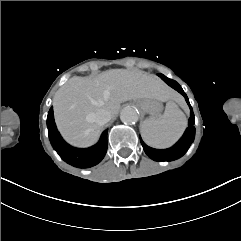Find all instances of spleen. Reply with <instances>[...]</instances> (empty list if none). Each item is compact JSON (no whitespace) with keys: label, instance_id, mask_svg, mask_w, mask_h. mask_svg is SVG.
Listing matches in <instances>:
<instances>
[{"label":"spleen","instance_id":"1","mask_svg":"<svg viewBox=\"0 0 241 241\" xmlns=\"http://www.w3.org/2000/svg\"><path fill=\"white\" fill-rule=\"evenodd\" d=\"M187 127V119L178 105L169 101L160 117H150L141 125V135L147 145L165 149L176 143Z\"/></svg>","mask_w":241,"mask_h":241}]
</instances>
